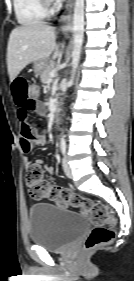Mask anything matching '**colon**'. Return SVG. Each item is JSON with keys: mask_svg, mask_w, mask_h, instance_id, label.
<instances>
[{"mask_svg": "<svg viewBox=\"0 0 134 281\" xmlns=\"http://www.w3.org/2000/svg\"><path fill=\"white\" fill-rule=\"evenodd\" d=\"M31 100H37L41 95V88L31 83L28 88ZM29 194L35 199L47 198L56 201L62 207L71 206L81 209L90 219L94 228L85 241V248L93 250L110 244L115 232L112 228L113 216L106 205L94 203L76 193L58 186L51 185L45 178L40 166L27 167L25 175Z\"/></svg>", "mask_w": 134, "mask_h": 281, "instance_id": "1", "label": "colon"}]
</instances>
